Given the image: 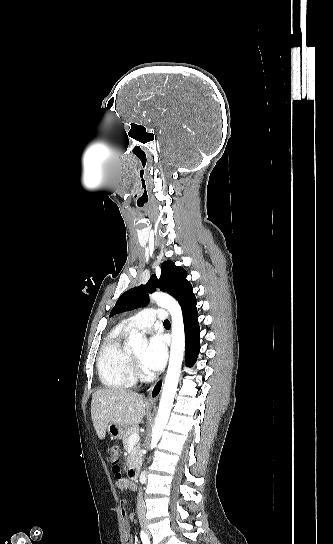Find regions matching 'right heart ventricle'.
<instances>
[{"label": "right heart ventricle", "instance_id": "e07e8e85", "mask_svg": "<svg viewBox=\"0 0 333 544\" xmlns=\"http://www.w3.org/2000/svg\"><path fill=\"white\" fill-rule=\"evenodd\" d=\"M129 329L120 325L104 339L97 358V371L101 383L111 389L130 388L135 384L131 365V351L124 340Z\"/></svg>", "mask_w": 333, "mask_h": 544}]
</instances>
